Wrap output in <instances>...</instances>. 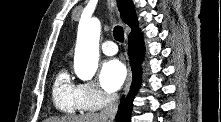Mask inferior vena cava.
I'll return each instance as SVG.
<instances>
[{"label": "inferior vena cava", "instance_id": "obj_1", "mask_svg": "<svg viewBox=\"0 0 221 122\" xmlns=\"http://www.w3.org/2000/svg\"><path fill=\"white\" fill-rule=\"evenodd\" d=\"M118 101L119 96L117 94H110L108 96V103L101 111L100 116L102 118L109 119L112 122L118 110Z\"/></svg>", "mask_w": 221, "mask_h": 122}]
</instances>
